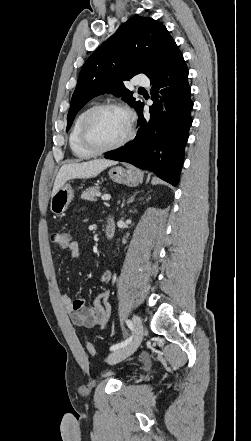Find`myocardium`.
I'll return each instance as SVG.
<instances>
[{
  "label": "myocardium",
  "mask_w": 251,
  "mask_h": 441,
  "mask_svg": "<svg viewBox=\"0 0 251 441\" xmlns=\"http://www.w3.org/2000/svg\"><path fill=\"white\" fill-rule=\"evenodd\" d=\"M103 109H116L125 113L128 120V129L125 136L122 139H120L118 142L106 147H97L89 141L87 128L91 117L96 112ZM133 136H134V116L128 108L116 102H103L89 108L81 120L80 129H79L80 144L82 145L83 148H85L87 151H89L92 154H103L109 151L116 150L124 146L126 143H128L133 138Z\"/></svg>",
  "instance_id": "obj_1"
}]
</instances>
